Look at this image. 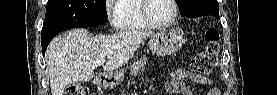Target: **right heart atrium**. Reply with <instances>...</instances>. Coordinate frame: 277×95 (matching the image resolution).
<instances>
[{
  "instance_id": "obj_1",
  "label": "right heart atrium",
  "mask_w": 277,
  "mask_h": 95,
  "mask_svg": "<svg viewBox=\"0 0 277 95\" xmlns=\"http://www.w3.org/2000/svg\"><path fill=\"white\" fill-rule=\"evenodd\" d=\"M105 11L110 25L114 28H118V19L116 11L110 5L106 6Z\"/></svg>"
}]
</instances>
